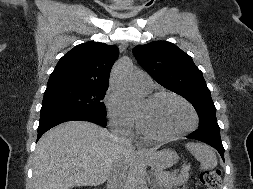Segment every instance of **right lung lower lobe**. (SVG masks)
I'll use <instances>...</instances> for the list:
<instances>
[{"instance_id": "right-lung-lower-lobe-1", "label": "right lung lower lobe", "mask_w": 253, "mask_h": 189, "mask_svg": "<svg viewBox=\"0 0 253 189\" xmlns=\"http://www.w3.org/2000/svg\"><path fill=\"white\" fill-rule=\"evenodd\" d=\"M89 121L106 126V119L102 116H97L88 113L73 112V111H63V110H50L41 112L39 127H38V137L37 140L42 136L43 133L51 129L52 127L66 122V121Z\"/></svg>"}]
</instances>
